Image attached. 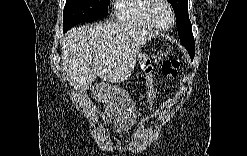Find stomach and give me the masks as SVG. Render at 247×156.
<instances>
[{"label": "stomach", "mask_w": 247, "mask_h": 156, "mask_svg": "<svg viewBox=\"0 0 247 156\" xmlns=\"http://www.w3.org/2000/svg\"><path fill=\"white\" fill-rule=\"evenodd\" d=\"M144 60V56L143 55H139V64H142Z\"/></svg>", "instance_id": "0dacf381"}]
</instances>
